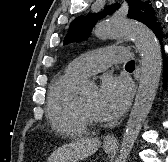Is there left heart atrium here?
Masks as SVG:
<instances>
[{"label": "left heart atrium", "instance_id": "1", "mask_svg": "<svg viewBox=\"0 0 168 162\" xmlns=\"http://www.w3.org/2000/svg\"><path fill=\"white\" fill-rule=\"evenodd\" d=\"M132 95L130 83L121 77L105 76L97 95V114L101 120H114L127 108Z\"/></svg>", "mask_w": 168, "mask_h": 162}]
</instances>
